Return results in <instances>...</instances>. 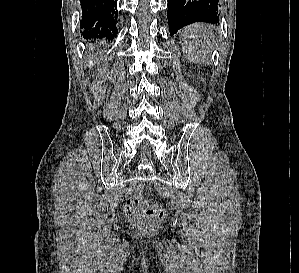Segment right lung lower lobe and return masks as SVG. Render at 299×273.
<instances>
[{
	"instance_id": "98d812e1",
	"label": "right lung lower lobe",
	"mask_w": 299,
	"mask_h": 273,
	"mask_svg": "<svg viewBox=\"0 0 299 273\" xmlns=\"http://www.w3.org/2000/svg\"><path fill=\"white\" fill-rule=\"evenodd\" d=\"M82 19L80 27L85 29L88 39L106 38L109 41L118 33L116 28L117 0H80Z\"/></svg>"
}]
</instances>
